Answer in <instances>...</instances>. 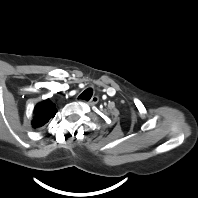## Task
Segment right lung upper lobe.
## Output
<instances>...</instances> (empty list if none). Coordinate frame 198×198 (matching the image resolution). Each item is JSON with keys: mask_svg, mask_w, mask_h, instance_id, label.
Returning <instances> with one entry per match:
<instances>
[{"mask_svg": "<svg viewBox=\"0 0 198 198\" xmlns=\"http://www.w3.org/2000/svg\"><path fill=\"white\" fill-rule=\"evenodd\" d=\"M56 112L57 109L55 105L50 101V99H46L38 103L33 111L34 117L32 120V127H42L55 116Z\"/></svg>", "mask_w": 198, "mask_h": 198, "instance_id": "cb5924a9", "label": "right lung upper lobe"}]
</instances>
